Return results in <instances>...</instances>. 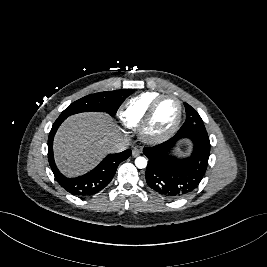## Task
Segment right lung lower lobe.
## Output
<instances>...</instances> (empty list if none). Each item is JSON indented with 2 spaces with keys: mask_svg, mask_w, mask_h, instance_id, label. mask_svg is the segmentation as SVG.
<instances>
[{
  "mask_svg": "<svg viewBox=\"0 0 267 267\" xmlns=\"http://www.w3.org/2000/svg\"><path fill=\"white\" fill-rule=\"evenodd\" d=\"M61 123V121H55L48 137V160L56 180L66 191L76 196H90L98 193L109 184L118 165L126 160L132 151L127 149L121 153L110 154L87 174L76 178H67L57 169L53 157V138Z\"/></svg>",
  "mask_w": 267,
  "mask_h": 267,
  "instance_id": "1",
  "label": "right lung lower lobe"
}]
</instances>
